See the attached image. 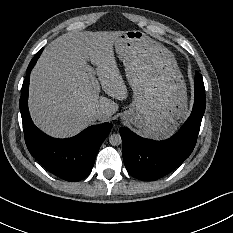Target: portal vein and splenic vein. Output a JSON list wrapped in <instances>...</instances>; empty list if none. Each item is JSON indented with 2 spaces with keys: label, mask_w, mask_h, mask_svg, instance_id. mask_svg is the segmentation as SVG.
<instances>
[{
  "label": "portal vein and splenic vein",
  "mask_w": 233,
  "mask_h": 233,
  "mask_svg": "<svg viewBox=\"0 0 233 233\" xmlns=\"http://www.w3.org/2000/svg\"><path fill=\"white\" fill-rule=\"evenodd\" d=\"M91 82H92L94 87L100 88L99 82H98L97 78L94 75L91 78Z\"/></svg>",
  "instance_id": "1"
}]
</instances>
